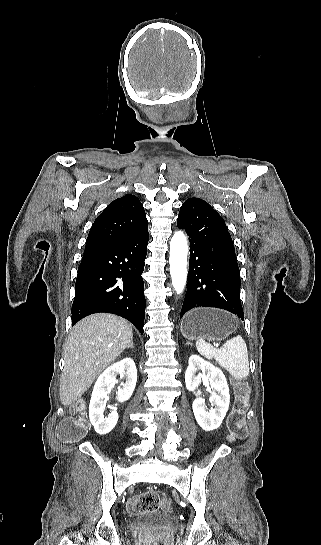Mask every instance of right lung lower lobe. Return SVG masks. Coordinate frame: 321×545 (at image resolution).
<instances>
[{"instance_id": "obj_1", "label": "right lung lower lobe", "mask_w": 321, "mask_h": 545, "mask_svg": "<svg viewBox=\"0 0 321 545\" xmlns=\"http://www.w3.org/2000/svg\"><path fill=\"white\" fill-rule=\"evenodd\" d=\"M148 229L124 242L84 252L75 284L72 325L98 312L119 315L143 334Z\"/></svg>"}]
</instances>
